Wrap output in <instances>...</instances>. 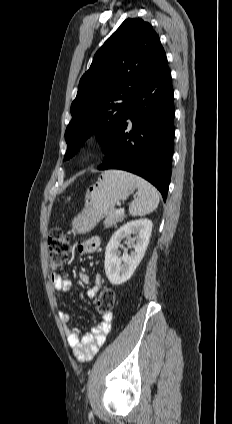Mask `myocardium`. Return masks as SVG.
I'll return each instance as SVG.
<instances>
[{
  "label": "myocardium",
  "instance_id": "1",
  "mask_svg": "<svg viewBox=\"0 0 232 424\" xmlns=\"http://www.w3.org/2000/svg\"><path fill=\"white\" fill-rule=\"evenodd\" d=\"M100 146V141L98 139H90L86 145L85 150L87 153H92L96 151Z\"/></svg>",
  "mask_w": 232,
  "mask_h": 424
}]
</instances>
